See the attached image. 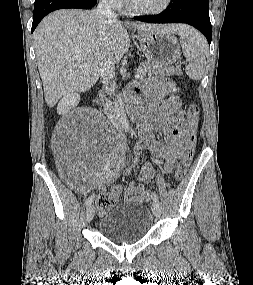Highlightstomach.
<instances>
[{
	"label": "stomach",
	"instance_id": "stomach-1",
	"mask_svg": "<svg viewBox=\"0 0 253 285\" xmlns=\"http://www.w3.org/2000/svg\"><path fill=\"white\" fill-rule=\"evenodd\" d=\"M140 47L150 63L169 66L181 56V49L174 34L166 31L139 33Z\"/></svg>",
	"mask_w": 253,
	"mask_h": 285
}]
</instances>
